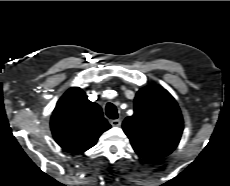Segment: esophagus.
Segmentation results:
<instances>
[{
	"mask_svg": "<svg viewBox=\"0 0 230 186\" xmlns=\"http://www.w3.org/2000/svg\"><path fill=\"white\" fill-rule=\"evenodd\" d=\"M110 124L114 127H119L121 125V120L120 119L111 120Z\"/></svg>",
	"mask_w": 230,
	"mask_h": 186,
	"instance_id": "obj_1",
	"label": "esophagus"
}]
</instances>
